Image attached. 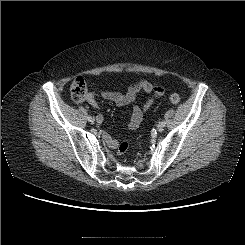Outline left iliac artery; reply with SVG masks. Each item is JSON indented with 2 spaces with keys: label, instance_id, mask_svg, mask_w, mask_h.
<instances>
[{
  "label": "left iliac artery",
  "instance_id": "obj_1",
  "mask_svg": "<svg viewBox=\"0 0 245 245\" xmlns=\"http://www.w3.org/2000/svg\"><path fill=\"white\" fill-rule=\"evenodd\" d=\"M161 124H162L163 126H165V125H166V122H165V121H162Z\"/></svg>",
  "mask_w": 245,
  "mask_h": 245
}]
</instances>
